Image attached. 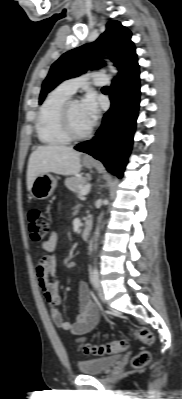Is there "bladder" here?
Here are the masks:
<instances>
[{"instance_id":"bladder-1","label":"bladder","mask_w":182,"mask_h":399,"mask_svg":"<svg viewBox=\"0 0 182 399\" xmlns=\"http://www.w3.org/2000/svg\"><path fill=\"white\" fill-rule=\"evenodd\" d=\"M119 355L93 358L88 360H82L78 362V369L82 374L85 375H99L106 373L113 364H115Z\"/></svg>"}]
</instances>
